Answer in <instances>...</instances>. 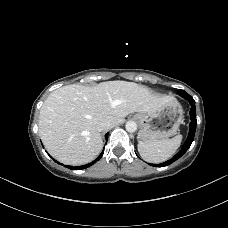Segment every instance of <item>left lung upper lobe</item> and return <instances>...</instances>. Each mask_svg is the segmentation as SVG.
<instances>
[{
	"label": "left lung upper lobe",
	"mask_w": 228,
	"mask_h": 228,
	"mask_svg": "<svg viewBox=\"0 0 228 228\" xmlns=\"http://www.w3.org/2000/svg\"><path fill=\"white\" fill-rule=\"evenodd\" d=\"M178 94H179L180 96H183V94H186V92H185L184 90H179V91H178Z\"/></svg>",
	"instance_id": "1"
}]
</instances>
